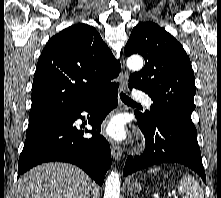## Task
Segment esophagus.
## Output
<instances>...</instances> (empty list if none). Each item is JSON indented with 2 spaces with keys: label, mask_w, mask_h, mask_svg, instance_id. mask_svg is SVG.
<instances>
[{
  "label": "esophagus",
  "mask_w": 221,
  "mask_h": 198,
  "mask_svg": "<svg viewBox=\"0 0 221 198\" xmlns=\"http://www.w3.org/2000/svg\"><path fill=\"white\" fill-rule=\"evenodd\" d=\"M129 74L127 71H124L122 77H121V91H126L127 87V81H128ZM112 156L116 161H120L122 158V148L116 144L112 143V148H111Z\"/></svg>",
  "instance_id": "34e87169"
}]
</instances>
